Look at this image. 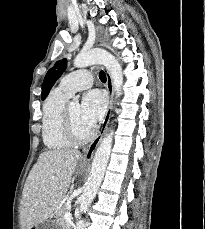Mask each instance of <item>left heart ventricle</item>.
<instances>
[{
	"label": "left heart ventricle",
	"instance_id": "left-heart-ventricle-1",
	"mask_svg": "<svg viewBox=\"0 0 205 229\" xmlns=\"http://www.w3.org/2000/svg\"><path fill=\"white\" fill-rule=\"evenodd\" d=\"M69 108L77 132L81 135L86 134L91 126L85 123L82 119L80 105L78 103H71Z\"/></svg>",
	"mask_w": 205,
	"mask_h": 229
}]
</instances>
